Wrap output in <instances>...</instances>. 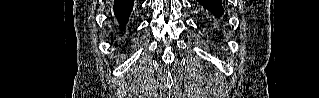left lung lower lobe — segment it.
Here are the masks:
<instances>
[{"instance_id": "0a47b994", "label": "left lung lower lobe", "mask_w": 319, "mask_h": 98, "mask_svg": "<svg viewBox=\"0 0 319 98\" xmlns=\"http://www.w3.org/2000/svg\"><path fill=\"white\" fill-rule=\"evenodd\" d=\"M200 9L209 23H219L224 14L221 0H199Z\"/></svg>"}]
</instances>
